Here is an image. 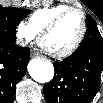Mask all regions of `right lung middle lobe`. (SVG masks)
<instances>
[{
    "instance_id": "1",
    "label": "right lung middle lobe",
    "mask_w": 103,
    "mask_h": 103,
    "mask_svg": "<svg viewBox=\"0 0 103 103\" xmlns=\"http://www.w3.org/2000/svg\"><path fill=\"white\" fill-rule=\"evenodd\" d=\"M29 14L25 9L0 7V37L16 40V27Z\"/></svg>"
}]
</instances>
